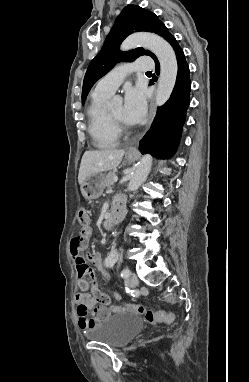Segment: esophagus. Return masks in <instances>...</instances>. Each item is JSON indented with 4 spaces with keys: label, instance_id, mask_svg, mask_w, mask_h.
<instances>
[{
    "label": "esophagus",
    "instance_id": "1",
    "mask_svg": "<svg viewBox=\"0 0 249 382\" xmlns=\"http://www.w3.org/2000/svg\"><path fill=\"white\" fill-rule=\"evenodd\" d=\"M155 114H156V109H155V105H154V100L152 99L151 102H150V108H149V116H148V126L151 125L154 117H155ZM138 151L136 149V147H131L127 153L129 154H136Z\"/></svg>",
    "mask_w": 249,
    "mask_h": 382
}]
</instances>
